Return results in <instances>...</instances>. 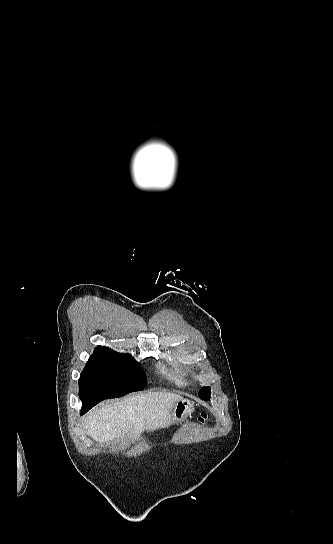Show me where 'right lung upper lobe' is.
<instances>
[{
    "mask_svg": "<svg viewBox=\"0 0 333 544\" xmlns=\"http://www.w3.org/2000/svg\"><path fill=\"white\" fill-rule=\"evenodd\" d=\"M108 350H110V348L104 347V346H97L96 349L94 350V353H93V354H104V353H106Z\"/></svg>",
    "mask_w": 333,
    "mask_h": 544,
    "instance_id": "cb5924a9",
    "label": "right lung upper lobe"
}]
</instances>
